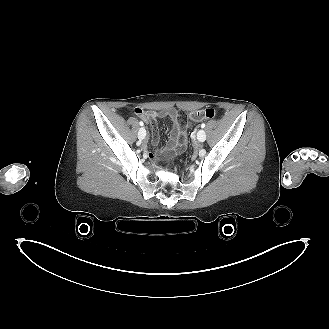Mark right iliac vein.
Here are the masks:
<instances>
[{
    "instance_id": "obj_1",
    "label": "right iliac vein",
    "mask_w": 329,
    "mask_h": 329,
    "mask_svg": "<svg viewBox=\"0 0 329 329\" xmlns=\"http://www.w3.org/2000/svg\"><path fill=\"white\" fill-rule=\"evenodd\" d=\"M145 136H146V130H145V128L142 127L138 131V138L140 140H143L145 138Z\"/></svg>"
}]
</instances>
